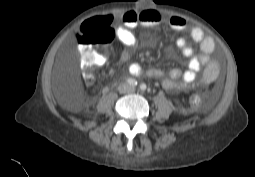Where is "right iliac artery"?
<instances>
[{
	"instance_id": "82829eb1",
	"label": "right iliac artery",
	"mask_w": 255,
	"mask_h": 177,
	"mask_svg": "<svg viewBox=\"0 0 255 177\" xmlns=\"http://www.w3.org/2000/svg\"><path fill=\"white\" fill-rule=\"evenodd\" d=\"M127 83L132 86H137L138 82L135 79L128 78Z\"/></svg>"
}]
</instances>
